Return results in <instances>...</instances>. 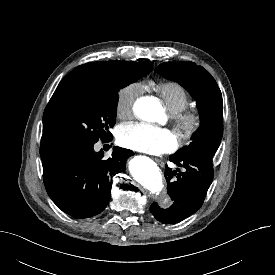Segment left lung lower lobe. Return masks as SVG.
<instances>
[{
	"mask_svg": "<svg viewBox=\"0 0 275 275\" xmlns=\"http://www.w3.org/2000/svg\"><path fill=\"white\" fill-rule=\"evenodd\" d=\"M170 161L185 168L184 172L177 173L180 171L178 168L172 171L166 166L167 192L174 203L168 209H162L156 203L150 207L154 217L165 224L180 222L195 213L202 206L214 176L212 157L209 155H172Z\"/></svg>",
	"mask_w": 275,
	"mask_h": 275,
	"instance_id": "1",
	"label": "left lung lower lobe"
}]
</instances>
